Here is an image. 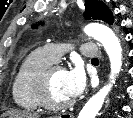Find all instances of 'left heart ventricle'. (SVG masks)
<instances>
[{
    "mask_svg": "<svg viewBox=\"0 0 133 118\" xmlns=\"http://www.w3.org/2000/svg\"><path fill=\"white\" fill-rule=\"evenodd\" d=\"M65 71L57 68L52 72L50 78V96L57 103H63L71 100L64 87Z\"/></svg>",
    "mask_w": 133,
    "mask_h": 118,
    "instance_id": "b2bd125f",
    "label": "left heart ventricle"
}]
</instances>
